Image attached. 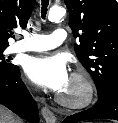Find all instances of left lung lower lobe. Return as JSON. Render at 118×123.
Listing matches in <instances>:
<instances>
[{
  "label": "left lung lower lobe",
  "mask_w": 118,
  "mask_h": 123,
  "mask_svg": "<svg viewBox=\"0 0 118 123\" xmlns=\"http://www.w3.org/2000/svg\"><path fill=\"white\" fill-rule=\"evenodd\" d=\"M91 119L118 120V82H114L101 95L90 109L68 116L62 123H77Z\"/></svg>",
  "instance_id": "1"
}]
</instances>
